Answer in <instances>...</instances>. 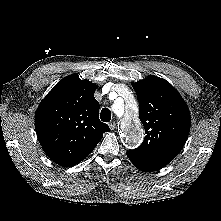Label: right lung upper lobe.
I'll return each instance as SVG.
<instances>
[{
	"label": "right lung upper lobe",
	"instance_id": "obj_1",
	"mask_svg": "<svg viewBox=\"0 0 221 221\" xmlns=\"http://www.w3.org/2000/svg\"><path fill=\"white\" fill-rule=\"evenodd\" d=\"M97 86L78 75L63 78L37 108L35 129L48 157L63 167L85 159L108 132L99 120Z\"/></svg>",
	"mask_w": 221,
	"mask_h": 221
}]
</instances>
